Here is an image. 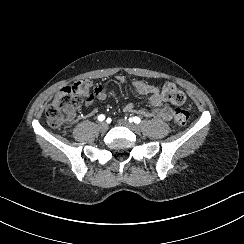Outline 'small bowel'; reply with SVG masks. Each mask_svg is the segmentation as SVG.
I'll return each instance as SVG.
<instances>
[{"mask_svg":"<svg viewBox=\"0 0 244 244\" xmlns=\"http://www.w3.org/2000/svg\"><path fill=\"white\" fill-rule=\"evenodd\" d=\"M117 81L124 83L126 81L123 75H118ZM132 87L134 91L139 95H145L148 97V102L152 106L151 110H147L144 107H137L133 104H126L124 111L127 113H138L147 118L161 119L163 121H170L173 116L172 107L167 104L161 96L157 87L144 81H133ZM95 98L99 101H105L108 98V92L104 84L99 85L95 91ZM91 99L87 102V106H91Z\"/></svg>","mask_w":244,"mask_h":244,"instance_id":"small-bowel-1","label":"small bowel"}]
</instances>
